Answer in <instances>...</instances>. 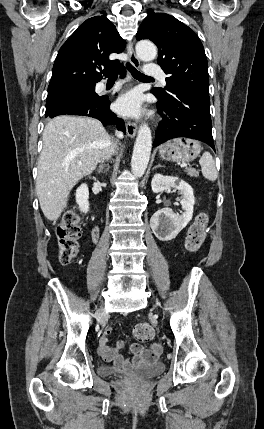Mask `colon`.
Segmentation results:
<instances>
[{"label":"colon","instance_id":"5ec220e1","mask_svg":"<svg viewBox=\"0 0 264 429\" xmlns=\"http://www.w3.org/2000/svg\"><path fill=\"white\" fill-rule=\"evenodd\" d=\"M207 221V215L200 213L191 224L185 240L187 250L191 252L199 250L206 237ZM80 237L79 216L76 212L70 211L65 214L57 228L59 259L62 264L67 265L76 257ZM133 334L138 342L145 343L153 338L154 330L148 323H139L135 326Z\"/></svg>","mask_w":264,"mask_h":429}]
</instances>
